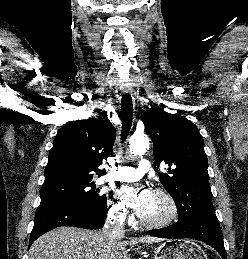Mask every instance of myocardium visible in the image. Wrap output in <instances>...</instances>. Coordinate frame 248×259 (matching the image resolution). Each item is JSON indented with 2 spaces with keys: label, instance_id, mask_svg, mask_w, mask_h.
I'll use <instances>...</instances> for the list:
<instances>
[{
  "label": "myocardium",
  "instance_id": "f54148a6",
  "mask_svg": "<svg viewBox=\"0 0 248 259\" xmlns=\"http://www.w3.org/2000/svg\"><path fill=\"white\" fill-rule=\"evenodd\" d=\"M153 194L162 197L168 205V213L165 217L156 221H148L141 217L140 223L147 228H163L172 224L179 215V208L174 197L164 189L157 188Z\"/></svg>",
  "mask_w": 248,
  "mask_h": 259
}]
</instances>
